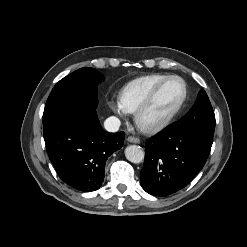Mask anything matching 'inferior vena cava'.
I'll return each mask as SVG.
<instances>
[{"label":"inferior vena cava","mask_w":247,"mask_h":247,"mask_svg":"<svg viewBox=\"0 0 247 247\" xmlns=\"http://www.w3.org/2000/svg\"><path fill=\"white\" fill-rule=\"evenodd\" d=\"M120 120L117 117L111 116L104 122V127L108 132H117L120 127Z\"/></svg>","instance_id":"inferior-vena-cava-1"}]
</instances>
